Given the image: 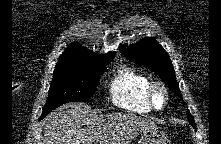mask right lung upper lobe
Here are the masks:
<instances>
[{
  "label": "right lung upper lobe",
  "instance_id": "right-lung-upper-lobe-1",
  "mask_svg": "<svg viewBox=\"0 0 221 144\" xmlns=\"http://www.w3.org/2000/svg\"><path fill=\"white\" fill-rule=\"evenodd\" d=\"M114 53L97 54L78 44L69 45L56 66L95 65L112 61Z\"/></svg>",
  "mask_w": 221,
  "mask_h": 144
}]
</instances>
